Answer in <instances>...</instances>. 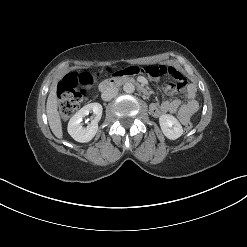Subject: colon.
<instances>
[{
    "label": "colon",
    "mask_w": 247,
    "mask_h": 247,
    "mask_svg": "<svg viewBox=\"0 0 247 247\" xmlns=\"http://www.w3.org/2000/svg\"><path fill=\"white\" fill-rule=\"evenodd\" d=\"M93 77L87 73L70 72L59 83L57 88L58 107L63 119L69 118L85 101L87 89L92 84ZM193 125H184L185 132H190Z\"/></svg>",
    "instance_id": "colon-1"
}]
</instances>
